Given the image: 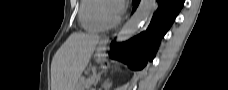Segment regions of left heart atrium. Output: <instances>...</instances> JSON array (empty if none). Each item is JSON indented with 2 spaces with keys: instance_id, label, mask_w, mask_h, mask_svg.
I'll return each mask as SVG.
<instances>
[{
  "instance_id": "1",
  "label": "left heart atrium",
  "mask_w": 228,
  "mask_h": 90,
  "mask_svg": "<svg viewBox=\"0 0 228 90\" xmlns=\"http://www.w3.org/2000/svg\"><path fill=\"white\" fill-rule=\"evenodd\" d=\"M114 9H115L117 16H119L123 12V4L122 3L115 4Z\"/></svg>"
}]
</instances>
